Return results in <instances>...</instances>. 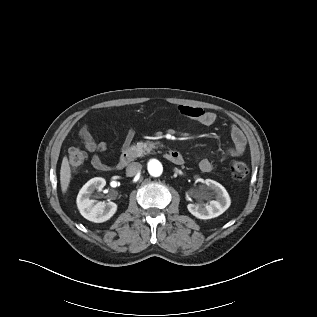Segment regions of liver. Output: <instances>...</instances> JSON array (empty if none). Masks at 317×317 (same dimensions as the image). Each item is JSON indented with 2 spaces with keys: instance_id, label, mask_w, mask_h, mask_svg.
Instances as JSON below:
<instances>
[{
  "instance_id": "liver-1",
  "label": "liver",
  "mask_w": 317,
  "mask_h": 317,
  "mask_svg": "<svg viewBox=\"0 0 317 317\" xmlns=\"http://www.w3.org/2000/svg\"><path fill=\"white\" fill-rule=\"evenodd\" d=\"M71 179V170L67 157H64L60 170V184L63 193H66Z\"/></svg>"
}]
</instances>
